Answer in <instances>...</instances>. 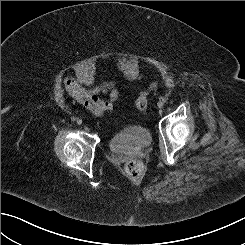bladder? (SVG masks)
I'll return each instance as SVG.
<instances>
[{"label": "bladder", "mask_w": 245, "mask_h": 245, "mask_svg": "<svg viewBox=\"0 0 245 245\" xmlns=\"http://www.w3.org/2000/svg\"><path fill=\"white\" fill-rule=\"evenodd\" d=\"M152 142L150 130L140 123L120 126L110 137L109 146L115 154H129L148 148Z\"/></svg>", "instance_id": "1"}]
</instances>
